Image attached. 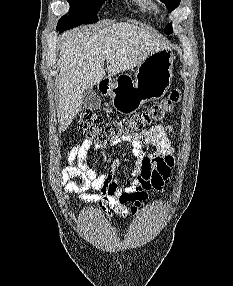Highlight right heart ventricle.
Wrapping results in <instances>:
<instances>
[{
    "label": "right heart ventricle",
    "instance_id": "obj_1",
    "mask_svg": "<svg viewBox=\"0 0 233 286\" xmlns=\"http://www.w3.org/2000/svg\"><path fill=\"white\" fill-rule=\"evenodd\" d=\"M140 9L150 15L159 13V5L155 0H134Z\"/></svg>",
    "mask_w": 233,
    "mask_h": 286
}]
</instances>
